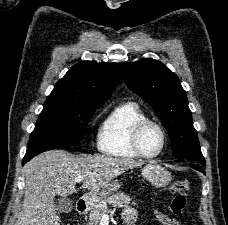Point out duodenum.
Returning a JSON list of instances; mask_svg holds the SVG:
<instances>
[{"mask_svg": "<svg viewBox=\"0 0 228 225\" xmlns=\"http://www.w3.org/2000/svg\"><path fill=\"white\" fill-rule=\"evenodd\" d=\"M91 198L90 197H84V198H80L75 205V210H76V214L77 217L70 222V225H78V218L80 215H82L89 207ZM128 225H131L132 223H127Z\"/></svg>", "mask_w": 228, "mask_h": 225, "instance_id": "410a0bca", "label": "duodenum"}]
</instances>
